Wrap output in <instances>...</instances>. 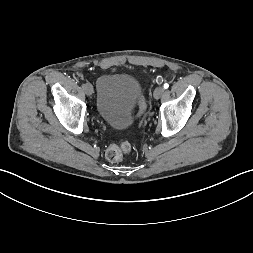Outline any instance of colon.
Wrapping results in <instances>:
<instances>
[{
  "label": "colon",
  "instance_id": "1",
  "mask_svg": "<svg viewBox=\"0 0 253 253\" xmlns=\"http://www.w3.org/2000/svg\"><path fill=\"white\" fill-rule=\"evenodd\" d=\"M141 111L144 109V102L140 104ZM132 149V144L129 141H123L120 144H113L106 150V158L112 163L120 162L124 156Z\"/></svg>",
  "mask_w": 253,
  "mask_h": 253
}]
</instances>
